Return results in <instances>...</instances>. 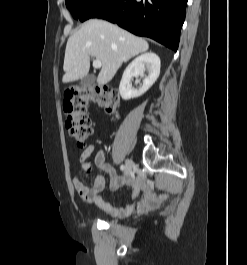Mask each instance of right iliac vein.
I'll use <instances>...</instances> for the list:
<instances>
[{"label":"right iliac vein","mask_w":247,"mask_h":265,"mask_svg":"<svg viewBox=\"0 0 247 265\" xmlns=\"http://www.w3.org/2000/svg\"><path fill=\"white\" fill-rule=\"evenodd\" d=\"M134 163L131 159H127L125 162V176L129 177L132 174Z\"/></svg>","instance_id":"obj_1"}]
</instances>
